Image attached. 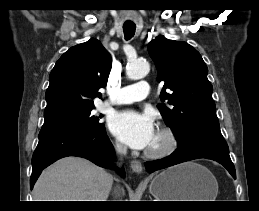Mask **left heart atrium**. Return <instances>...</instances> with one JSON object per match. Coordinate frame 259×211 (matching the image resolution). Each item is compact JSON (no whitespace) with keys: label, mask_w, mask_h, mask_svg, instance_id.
Returning <instances> with one entry per match:
<instances>
[{"label":"left heart atrium","mask_w":259,"mask_h":211,"mask_svg":"<svg viewBox=\"0 0 259 211\" xmlns=\"http://www.w3.org/2000/svg\"><path fill=\"white\" fill-rule=\"evenodd\" d=\"M109 129L123 143L134 149L148 148L156 134L149 115L130 110L113 114L109 119Z\"/></svg>","instance_id":"left-heart-atrium-1"}]
</instances>
